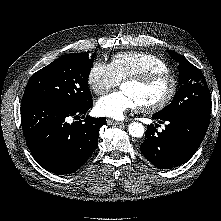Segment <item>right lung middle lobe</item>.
I'll list each match as a JSON object with an SVG mask.
<instances>
[{
    "label": "right lung middle lobe",
    "instance_id": "1",
    "mask_svg": "<svg viewBox=\"0 0 221 221\" xmlns=\"http://www.w3.org/2000/svg\"><path fill=\"white\" fill-rule=\"evenodd\" d=\"M92 65L86 52L61 56L31 76L22 102L42 100L72 108L88 107L92 104L88 87Z\"/></svg>",
    "mask_w": 221,
    "mask_h": 221
}]
</instances>
